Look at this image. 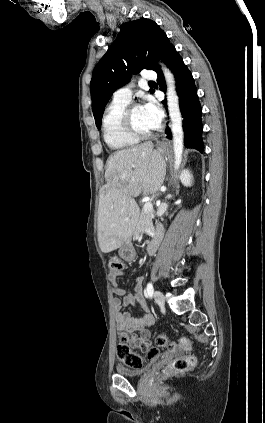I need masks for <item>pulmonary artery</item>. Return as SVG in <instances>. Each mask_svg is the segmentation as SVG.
I'll list each match as a JSON object with an SVG mask.
<instances>
[{
    "label": "pulmonary artery",
    "instance_id": "pulmonary-artery-1",
    "mask_svg": "<svg viewBox=\"0 0 265 423\" xmlns=\"http://www.w3.org/2000/svg\"><path fill=\"white\" fill-rule=\"evenodd\" d=\"M157 77L155 71H147L142 75L143 82L153 81ZM132 98V85H126L115 91L113 99L120 102L129 103Z\"/></svg>",
    "mask_w": 265,
    "mask_h": 423
}]
</instances>
